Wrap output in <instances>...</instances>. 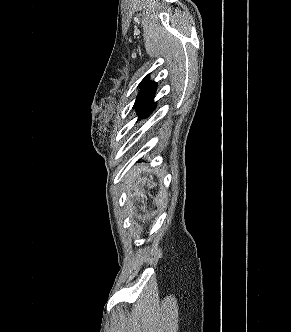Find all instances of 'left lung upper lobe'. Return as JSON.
I'll return each instance as SVG.
<instances>
[{
	"instance_id": "5c2ea615",
	"label": "left lung upper lobe",
	"mask_w": 291,
	"mask_h": 332,
	"mask_svg": "<svg viewBox=\"0 0 291 332\" xmlns=\"http://www.w3.org/2000/svg\"><path fill=\"white\" fill-rule=\"evenodd\" d=\"M147 75L140 84H142V88L136 98L134 107L137 110V115L139 117V120L142 117V114L144 112V109L146 105L153 99L155 92H156V86L157 83L148 81Z\"/></svg>"
}]
</instances>
